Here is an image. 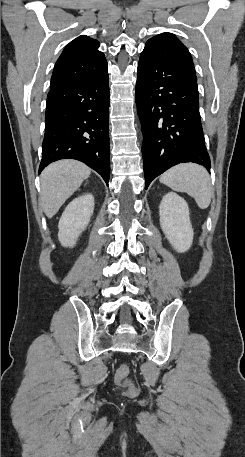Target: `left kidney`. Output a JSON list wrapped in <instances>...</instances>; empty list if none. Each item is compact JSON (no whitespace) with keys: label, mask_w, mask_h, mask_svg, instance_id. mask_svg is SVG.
Segmentation results:
<instances>
[{"label":"left kidney","mask_w":245,"mask_h":457,"mask_svg":"<svg viewBox=\"0 0 245 457\" xmlns=\"http://www.w3.org/2000/svg\"><path fill=\"white\" fill-rule=\"evenodd\" d=\"M161 229L170 245L177 253H185L193 243V229L186 200L176 194L167 192L159 206Z\"/></svg>","instance_id":"left-kidney-1"}]
</instances>
